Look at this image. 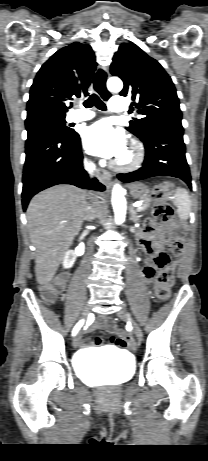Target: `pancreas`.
<instances>
[{"instance_id":"1","label":"pancreas","mask_w":208,"mask_h":461,"mask_svg":"<svg viewBox=\"0 0 208 461\" xmlns=\"http://www.w3.org/2000/svg\"><path fill=\"white\" fill-rule=\"evenodd\" d=\"M143 198H144V203L142 204V206L139 208L138 211H143V210L147 209L150 206L151 199L149 198V196L147 195V196H145Z\"/></svg>"}]
</instances>
